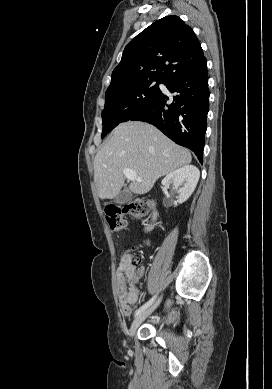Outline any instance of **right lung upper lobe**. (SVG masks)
Returning a JSON list of instances; mask_svg holds the SVG:
<instances>
[{"instance_id": "obj_1", "label": "right lung upper lobe", "mask_w": 272, "mask_h": 389, "mask_svg": "<svg viewBox=\"0 0 272 389\" xmlns=\"http://www.w3.org/2000/svg\"><path fill=\"white\" fill-rule=\"evenodd\" d=\"M202 58L194 31L178 16L164 17L127 44L107 91L150 79L165 82Z\"/></svg>"}]
</instances>
